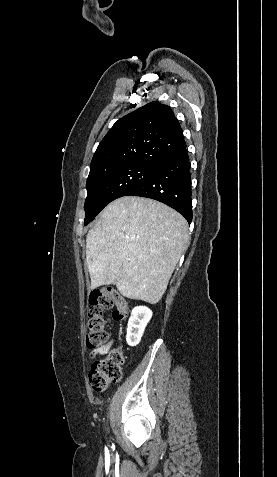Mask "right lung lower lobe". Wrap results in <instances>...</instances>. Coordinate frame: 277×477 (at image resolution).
Listing matches in <instances>:
<instances>
[{
	"label": "right lung lower lobe",
	"mask_w": 277,
	"mask_h": 477,
	"mask_svg": "<svg viewBox=\"0 0 277 477\" xmlns=\"http://www.w3.org/2000/svg\"><path fill=\"white\" fill-rule=\"evenodd\" d=\"M126 196H141L160 201L192 221L191 173L186 147L170 155L151 175Z\"/></svg>",
	"instance_id": "obj_1"
}]
</instances>
